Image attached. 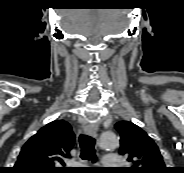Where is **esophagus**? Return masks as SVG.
Listing matches in <instances>:
<instances>
[{
    "instance_id": "1",
    "label": "esophagus",
    "mask_w": 184,
    "mask_h": 173,
    "mask_svg": "<svg viewBox=\"0 0 184 173\" xmlns=\"http://www.w3.org/2000/svg\"><path fill=\"white\" fill-rule=\"evenodd\" d=\"M98 125L96 123L86 124L83 126V132L87 135L96 136Z\"/></svg>"
}]
</instances>
